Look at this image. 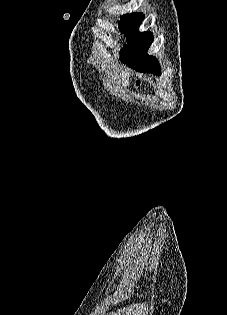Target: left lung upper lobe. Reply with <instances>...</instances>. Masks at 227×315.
<instances>
[{
    "mask_svg": "<svg viewBox=\"0 0 227 315\" xmlns=\"http://www.w3.org/2000/svg\"><path fill=\"white\" fill-rule=\"evenodd\" d=\"M144 16L142 13L125 14L118 22V27L126 35L127 45L122 51V61L127 63L130 60V52L137 48L144 41H153V35L150 32H138Z\"/></svg>",
    "mask_w": 227,
    "mask_h": 315,
    "instance_id": "1",
    "label": "left lung upper lobe"
}]
</instances>
